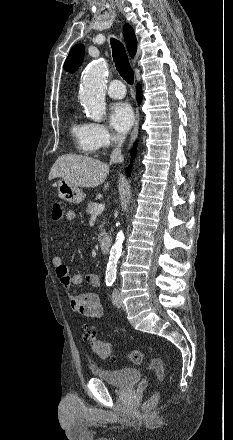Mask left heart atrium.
<instances>
[{"instance_id":"39dd6f15","label":"left heart atrium","mask_w":233,"mask_h":440,"mask_svg":"<svg viewBox=\"0 0 233 440\" xmlns=\"http://www.w3.org/2000/svg\"><path fill=\"white\" fill-rule=\"evenodd\" d=\"M134 122V113L131 106L125 102H118L110 108V123L120 133H126Z\"/></svg>"}]
</instances>
